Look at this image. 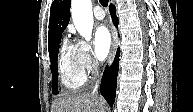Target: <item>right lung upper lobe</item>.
Masks as SVG:
<instances>
[{
  "label": "right lung upper lobe",
  "instance_id": "right-lung-upper-lobe-1",
  "mask_svg": "<svg viewBox=\"0 0 193 112\" xmlns=\"http://www.w3.org/2000/svg\"><path fill=\"white\" fill-rule=\"evenodd\" d=\"M70 20V0H54L50 10L49 46L63 33Z\"/></svg>",
  "mask_w": 193,
  "mask_h": 112
}]
</instances>
